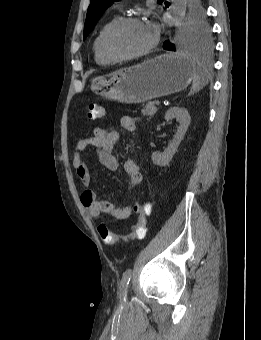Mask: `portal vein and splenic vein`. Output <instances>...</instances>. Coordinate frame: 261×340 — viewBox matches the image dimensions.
I'll use <instances>...</instances> for the list:
<instances>
[{
	"label": "portal vein and splenic vein",
	"instance_id": "portal-vein-and-splenic-vein-1",
	"mask_svg": "<svg viewBox=\"0 0 261 340\" xmlns=\"http://www.w3.org/2000/svg\"><path fill=\"white\" fill-rule=\"evenodd\" d=\"M155 104H156L157 106H159V105L161 104V102H160V101H156Z\"/></svg>",
	"mask_w": 261,
	"mask_h": 340
}]
</instances>
